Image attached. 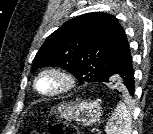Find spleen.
<instances>
[{
    "instance_id": "obj_1",
    "label": "spleen",
    "mask_w": 153,
    "mask_h": 134,
    "mask_svg": "<svg viewBox=\"0 0 153 134\" xmlns=\"http://www.w3.org/2000/svg\"><path fill=\"white\" fill-rule=\"evenodd\" d=\"M106 134H131V114L122 102L117 104L105 127Z\"/></svg>"
}]
</instances>
